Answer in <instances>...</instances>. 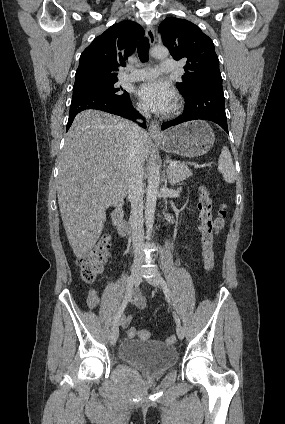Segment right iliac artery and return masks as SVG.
Here are the masks:
<instances>
[{
    "mask_svg": "<svg viewBox=\"0 0 285 424\" xmlns=\"http://www.w3.org/2000/svg\"><path fill=\"white\" fill-rule=\"evenodd\" d=\"M132 294H133V282H132V277L130 276L127 280L126 295H125V299L122 303V308H120L119 311L117 312V314L114 318V321H113V326H115L118 323V321L121 317V314L123 313L124 308L126 307L129 299H131V297H132Z\"/></svg>",
    "mask_w": 285,
    "mask_h": 424,
    "instance_id": "obj_1",
    "label": "right iliac artery"
}]
</instances>
